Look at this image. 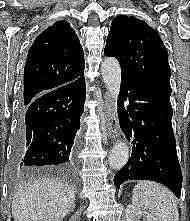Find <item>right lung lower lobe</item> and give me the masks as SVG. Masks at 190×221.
Listing matches in <instances>:
<instances>
[{
    "instance_id": "obj_1",
    "label": "right lung lower lobe",
    "mask_w": 190,
    "mask_h": 221,
    "mask_svg": "<svg viewBox=\"0 0 190 221\" xmlns=\"http://www.w3.org/2000/svg\"><path fill=\"white\" fill-rule=\"evenodd\" d=\"M85 95L82 75L21 104L14 144L16 170L75 162Z\"/></svg>"
}]
</instances>
